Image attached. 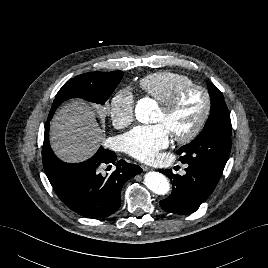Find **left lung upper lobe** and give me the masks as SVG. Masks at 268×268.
I'll list each match as a JSON object with an SVG mask.
<instances>
[{
	"mask_svg": "<svg viewBox=\"0 0 268 268\" xmlns=\"http://www.w3.org/2000/svg\"><path fill=\"white\" fill-rule=\"evenodd\" d=\"M208 90L211 112L203 131L177 154L183 164L202 166L221 176L230 155L232 126L222 93L213 83Z\"/></svg>",
	"mask_w": 268,
	"mask_h": 268,
	"instance_id": "left-lung-upper-lobe-1",
	"label": "left lung upper lobe"
}]
</instances>
